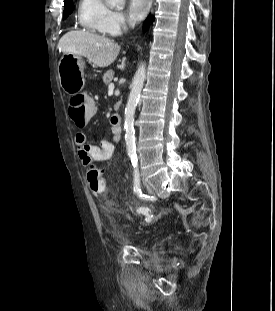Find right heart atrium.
I'll return each mask as SVG.
<instances>
[{
  "label": "right heart atrium",
  "instance_id": "1",
  "mask_svg": "<svg viewBox=\"0 0 275 311\" xmlns=\"http://www.w3.org/2000/svg\"><path fill=\"white\" fill-rule=\"evenodd\" d=\"M127 27V20L123 13L111 11L107 17L106 30L108 33L115 35Z\"/></svg>",
  "mask_w": 275,
  "mask_h": 311
}]
</instances>
